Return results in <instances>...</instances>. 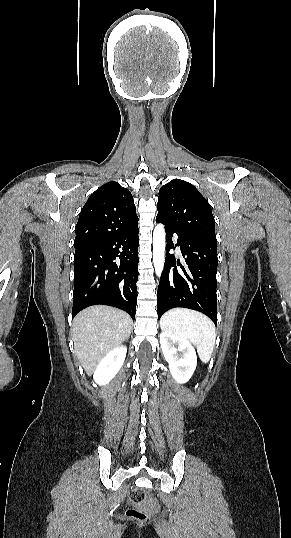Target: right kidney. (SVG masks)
Instances as JSON below:
<instances>
[{"instance_id":"right-kidney-1","label":"right kidney","mask_w":291,"mask_h":538,"mask_svg":"<svg viewBox=\"0 0 291 538\" xmlns=\"http://www.w3.org/2000/svg\"><path fill=\"white\" fill-rule=\"evenodd\" d=\"M127 353V348L120 345L111 350L99 362L94 371L93 379L98 385H105L115 377L122 367Z\"/></svg>"}]
</instances>
